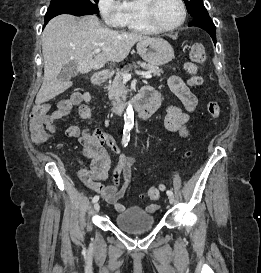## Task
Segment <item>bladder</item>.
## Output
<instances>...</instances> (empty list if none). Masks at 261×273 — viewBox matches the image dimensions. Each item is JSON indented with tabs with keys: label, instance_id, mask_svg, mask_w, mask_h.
<instances>
[{
	"label": "bladder",
	"instance_id": "bladder-1",
	"mask_svg": "<svg viewBox=\"0 0 261 273\" xmlns=\"http://www.w3.org/2000/svg\"><path fill=\"white\" fill-rule=\"evenodd\" d=\"M156 219L146 208L131 206L119 213L115 219V225L130 233L150 231L155 225Z\"/></svg>",
	"mask_w": 261,
	"mask_h": 273
}]
</instances>
